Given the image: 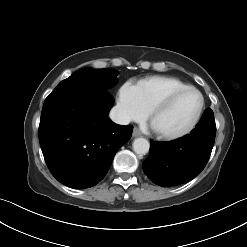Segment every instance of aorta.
<instances>
[{"mask_svg":"<svg viewBox=\"0 0 247 247\" xmlns=\"http://www.w3.org/2000/svg\"><path fill=\"white\" fill-rule=\"evenodd\" d=\"M149 146V141L145 138H136L133 141V150L137 154H147L149 152Z\"/></svg>","mask_w":247,"mask_h":247,"instance_id":"1","label":"aorta"}]
</instances>
